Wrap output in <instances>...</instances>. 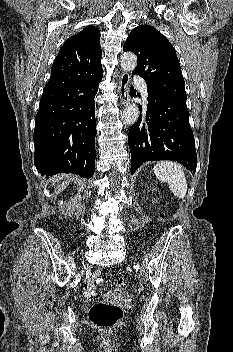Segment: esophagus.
I'll list each match as a JSON object with an SVG mask.
<instances>
[{"label":"esophagus","instance_id":"obj_1","mask_svg":"<svg viewBox=\"0 0 233 352\" xmlns=\"http://www.w3.org/2000/svg\"><path fill=\"white\" fill-rule=\"evenodd\" d=\"M130 75L127 72H122L119 78V95L123 105L130 103Z\"/></svg>","mask_w":233,"mask_h":352}]
</instances>
